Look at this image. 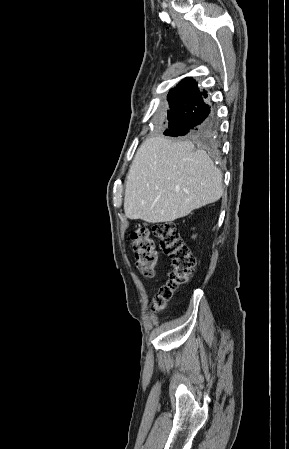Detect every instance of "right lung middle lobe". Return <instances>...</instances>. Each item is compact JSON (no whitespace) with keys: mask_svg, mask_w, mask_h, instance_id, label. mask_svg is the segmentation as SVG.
I'll return each mask as SVG.
<instances>
[{"mask_svg":"<svg viewBox=\"0 0 289 449\" xmlns=\"http://www.w3.org/2000/svg\"><path fill=\"white\" fill-rule=\"evenodd\" d=\"M167 118H168V121H169V119L171 118V111H170V110L168 111ZM168 123H169V122H168ZM167 127H168V124H167V126H166V128H165V132H166V130H167ZM165 132H164V134L167 135Z\"/></svg>","mask_w":289,"mask_h":449,"instance_id":"dd1d6c3e","label":"right lung middle lobe"}]
</instances>
